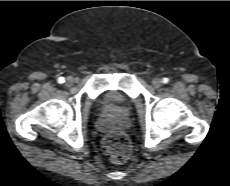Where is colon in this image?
Listing matches in <instances>:
<instances>
[{"label": "colon", "instance_id": "colon-1", "mask_svg": "<svg viewBox=\"0 0 230 186\" xmlns=\"http://www.w3.org/2000/svg\"><path fill=\"white\" fill-rule=\"evenodd\" d=\"M103 148L108 157L117 163L126 161L131 154L130 141L121 132L106 135L103 139Z\"/></svg>", "mask_w": 230, "mask_h": 186}]
</instances>
